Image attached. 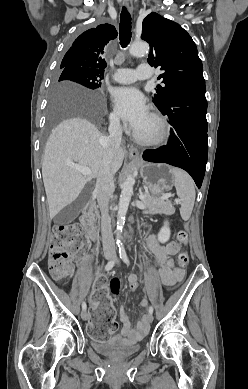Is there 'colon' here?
Instances as JSON below:
<instances>
[{
  "instance_id": "obj_1",
  "label": "colon",
  "mask_w": 248,
  "mask_h": 389,
  "mask_svg": "<svg viewBox=\"0 0 248 389\" xmlns=\"http://www.w3.org/2000/svg\"><path fill=\"white\" fill-rule=\"evenodd\" d=\"M177 239L181 244H187L188 234L180 231ZM86 250V242L82 230L78 226L56 225L53 228L49 245L48 266L52 276L58 280H65L72 272V261H81L82 254ZM178 262L182 268L189 263V254L183 250L178 255ZM109 273H100L99 277L92 283L95 296L91 301L89 310L93 312V320L89 326L84 327L85 333L95 338L96 344H107L112 340V333L117 329L116 312L112 306L110 292L105 289L109 284ZM130 291H139V279L128 282Z\"/></svg>"
}]
</instances>
